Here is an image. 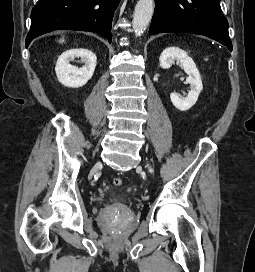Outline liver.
<instances>
[{
    "mask_svg": "<svg viewBox=\"0 0 255 272\" xmlns=\"http://www.w3.org/2000/svg\"><path fill=\"white\" fill-rule=\"evenodd\" d=\"M60 42H64V39H60Z\"/></svg>",
    "mask_w": 255,
    "mask_h": 272,
    "instance_id": "6515ba94",
    "label": "liver"
}]
</instances>
